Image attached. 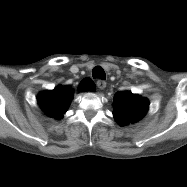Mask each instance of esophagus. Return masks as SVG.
<instances>
[{
  "label": "esophagus",
  "instance_id": "esophagus-1",
  "mask_svg": "<svg viewBox=\"0 0 187 187\" xmlns=\"http://www.w3.org/2000/svg\"><path fill=\"white\" fill-rule=\"evenodd\" d=\"M96 85L97 87L100 89V90H103L105 87H106V82L104 80H98L96 82Z\"/></svg>",
  "mask_w": 187,
  "mask_h": 187
}]
</instances>
